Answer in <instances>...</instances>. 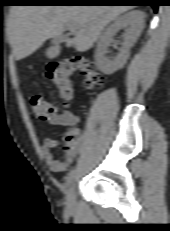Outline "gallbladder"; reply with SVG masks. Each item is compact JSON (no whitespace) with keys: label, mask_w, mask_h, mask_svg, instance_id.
Returning <instances> with one entry per match:
<instances>
[{"label":"gallbladder","mask_w":170,"mask_h":231,"mask_svg":"<svg viewBox=\"0 0 170 231\" xmlns=\"http://www.w3.org/2000/svg\"><path fill=\"white\" fill-rule=\"evenodd\" d=\"M64 39H66V37H64V36H62V37H60V38L53 39V40H52V44H54V43H56V42H59V41H61V40H64Z\"/></svg>","instance_id":"gallbladder-1"}]
</instances>
